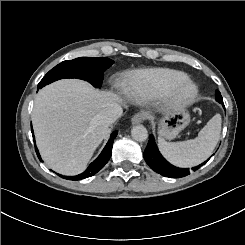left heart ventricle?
Masks as SVG:
<instances>
[{
  "mask_svg": "<svg viewBox=\"0 0 245 245\" xmlns=\"http://www.w3.org/2000/svg\"><path fill=\"white\" fill-rule=\"evenodd\" d=\"M190 92H191V89H190L189 87H186V88H184V89L181 91V94H183V95H188V94H190Z\"/></svg>",
  "mask_w": 245,
  "mask_h": 245,
  "instance_id": "b2bd125f",
  "label": "left heart ventricle"
}]
</instances>
